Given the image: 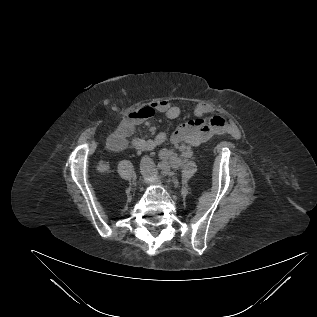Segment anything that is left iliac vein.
Instances as JSON below:
<instances>
[{"instance_id":"obj_1","label":"left iliac vein","mask_w":317,"mask_h":317,"mask_svg":"<svg viewBox=\"0 0 317 317\" xmlns=\"http://www.w3.org/2000/svg\"><path fill=\"white\" fill-rule=\"evenodd\" d=\"M172 164H173L174 166H177V165H178V162H177V161H173ZM168 174H169V175L172 174V172L170 171V169H169V171H168Z\"/></svg>"}]
</instances>
